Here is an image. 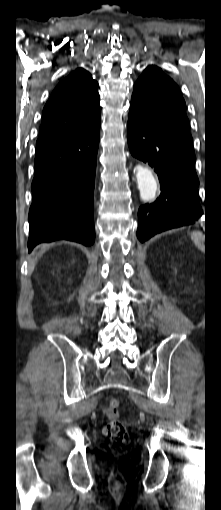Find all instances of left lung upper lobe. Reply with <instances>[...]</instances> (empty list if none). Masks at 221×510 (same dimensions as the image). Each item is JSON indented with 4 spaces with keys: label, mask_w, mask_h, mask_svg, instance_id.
<instances>
[{
    "label": "left lung upper lobe",
    "mask_w": 221,
    "mask_h": 510,
    "mask_svg": "<svg viewBox=\"0 0 221 510\" xmlns=\"http://www.w3.org/2000/svg\"><path fill=\"white\" fill-rule=\"evenodd\" d=\"M131 108L157 131L193 149L186 104L178 85L156 66H148L134 84Z\"/></svg>",
    "instance_id": "1"
}]
</instances>
